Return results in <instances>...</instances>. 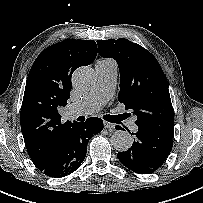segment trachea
<instances>
[{"instance_id": "trachea-1", "label": "trachea", "mask_w": 203, "mask_h": 203, "mask_svg": "<svg viewBox=\"0 0 203 203\" xmlns=\"http://www.w3.org/2000/svg\"><path fill=\"white\" fill-rule=\"evenodd\" d=\"M104 119L108 122H112L115 123L116 122V117L112 116V115H104Z\"/></svg>"}]
</instances>
